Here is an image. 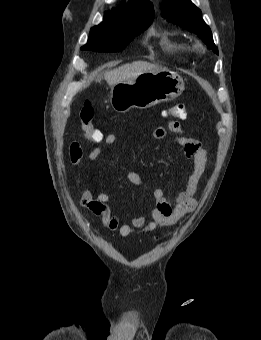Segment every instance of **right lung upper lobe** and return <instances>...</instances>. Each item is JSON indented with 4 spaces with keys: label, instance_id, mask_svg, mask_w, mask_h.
I'll return each mask as SVG.
<instances>
[{
    "label": "right lung upper lobe",
    "instance_id": "obj_1",
    "mask_svg": "<svg viewBox=\"0 0 261 340\" xmlns=\"http://www.w3.org/2000/svg\"><path fill=\"white\" fill-rule=\"evenodd\" d=\"M154 9L151 2L141 0H129L117 9L105 13V21L141 22L153 21Z\"/></svg>",
    "mask_w": 261,
    "mask_h": 340
}]
</instances>
